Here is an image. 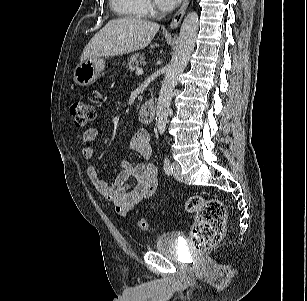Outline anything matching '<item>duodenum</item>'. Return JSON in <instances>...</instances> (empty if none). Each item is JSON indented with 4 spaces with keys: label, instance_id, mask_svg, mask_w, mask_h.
<instances>
[{
    "label": "duodenum",
    "instance_id": "obj_1",
    "mask_svg": "<svg viewBox=\"0 0 307 301\" xmlns=\"http://www.w3.org/2000/svg\"><path fill=\"white\" fill-rule=\"evenodd\" d=\"M156 116V103L153 99L147 100L138 110V119L146 124L152 123Z\"/></svg>",
    "mask_w": 307,
    "mask_h": 301
}]
</instances>
